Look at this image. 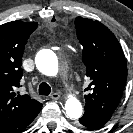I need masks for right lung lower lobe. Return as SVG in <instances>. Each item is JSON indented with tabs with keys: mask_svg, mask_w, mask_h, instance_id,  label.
<instances>
[{
	"mask_svg": "<svg viewBox=\"0 0 133 133\" xmlns=\"http://www.w3.org/2000/svg\"><path fill=\"white\" fill-rule=\"evenodd\" d=\"M37 114L34 115L33 117H31L24 125H22L21 127H19L17 130H21V129L25 128L26 126H28L35 119V117L37 116Z\"/></svg>",
	"mask_w": 133,
	"mask_h": 133,
	"instance_id": "right-lung-lower-lobe-1",
	"label": "right lung lower lobe"
}]
</instances>
